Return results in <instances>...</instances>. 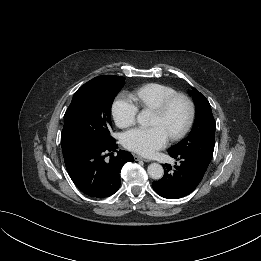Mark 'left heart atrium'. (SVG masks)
<instances>
[{
  "label": "left heart atrium",
  "mask_w": 261,
  "mask_h": 261,
  "mask_svg": "<svg viewBox=\"0 0 261 261\" xmlns=\"http://www.w3.org/2000/svg\"><path fill=\"white\" fill-rule=\"evenodd\" d=\"M168 137L160 126L139 127L124 133L122 141L127 149L143 156H152L166 145Z\"/></svg>",
  "instance_id": "1"
}]
</instances>
